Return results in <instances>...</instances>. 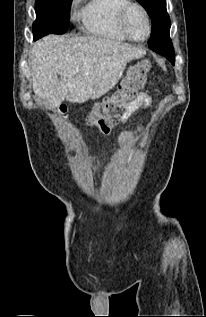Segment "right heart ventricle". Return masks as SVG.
<instances>
[{
	"label": "right heart ventricle",
	"instance_id": "right-heart-ventricle-1",
	"mask_svg": "<svg viewBox=\"0 0 206 317\" xmlns=\"http://www.w3.org/2000/svg\"><path fill=\"white\" fill-rule=\"evenodd\" d=\"M129 0H87L77 13L84 30L93 36L116 42L126 41L117 27L120 9Z\"/></svg>",
	"mask_w": 206,
	"mask_h": 317
}]
</instances>
